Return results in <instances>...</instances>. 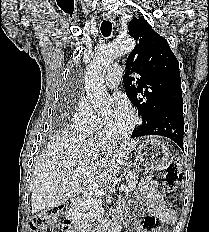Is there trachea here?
Segmentation results:
<instances>
[{"instance_id":"trachea-1","label":"trachea","mask_w":209,"mask_h":232,"mask_svg":"<svg viewBox=\"0 0 209 232\" xmlns=\"http://www.w3.org/2000/svg\"><path fill=\"white\" fill-rule=\"evenodd\" d=\"M101 33L104 37H109L112 32V23L108 20H103L101 23Z\"/></svg>"}]
</instances>
